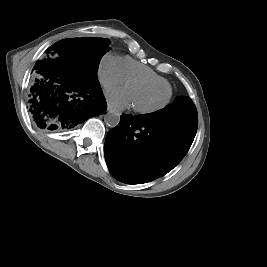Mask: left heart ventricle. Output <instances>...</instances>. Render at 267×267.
<instances>
[{
    "label": "left heart ventricle",
    "instance_id": "b2bd125f",
    "mask_svg": "<svg viewBox=\"0 0 267 267\" xmlns=\"http://www.w3.org/2000/svg\"><path fill=\"white\" fill-rule=\"evenodd\" d=\"M130 92L132 105L137 107H152L162 103L169 95L165 86L151 83H131L127 86Z\"/></svg>",
    "mask_w": 267,
    "mask_h": 267
}]
</instances>
